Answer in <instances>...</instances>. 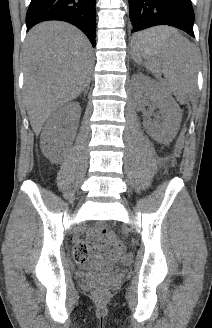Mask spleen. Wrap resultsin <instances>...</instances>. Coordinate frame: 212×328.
Masks as SVG:
<instances>
[{"instance_id": "obj_1", "label": "spleen", "mask_w": 212, "mask_h": 328, "mask_svg": "<svg viewBox=\"0 0 212 328\" xmlns=\"http://www.w3.org/2000/svg\"><path fill=\"white\" fill-rule=\"evenodd\" d=\"M141 42L136 51L154 50L160 60L150 63L149 69L163 73L168 89L174 95L190 94L196 87V64L189 41L169 27H154L137 34Z\"/></svg>"}]
</instances>
